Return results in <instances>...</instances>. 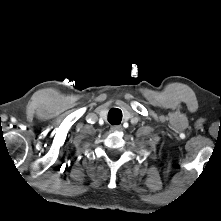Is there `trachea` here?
Here are the masks:
<instances>
[{"label": "trachea", "mask_w": 221, "mask_h": 221, "mask_svg": "<svg viewBox=\"0 0 221 221\" xmlns=\"http://www.w3.org/2000/svg\"><path fill=\"white\" fill-rule=\"evenodd\" d=\"M122 120V111L118 108H112L108 114V121L112 125L120 124Z\"/></svg>", "instance_id": "obj_1"}]
</instances>
